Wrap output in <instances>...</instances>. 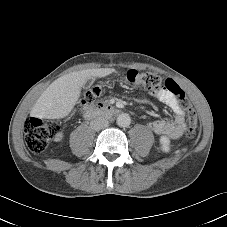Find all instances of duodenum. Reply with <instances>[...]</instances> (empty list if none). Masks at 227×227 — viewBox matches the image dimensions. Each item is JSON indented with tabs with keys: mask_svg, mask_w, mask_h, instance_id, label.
<instances>
[{
	"mask_svg": "<svg viewBox=\"0 0 227 227\" xmlns=\"http://www.w3.org/2000/svg\"><path fill=\"white\" fill-rule=\"evenodd\" d=\"M120 112L121 110L119 108H116L114 106H111L105 103H98V104L88 106L84 110V116L87 119H93L98 116H107V117L114 116L119 114Z\"/></svg>",
	"mask_w": 227,
	"mask_h": 227,
	"instance_id": "obj_1",
	"label": "duodenum"
}]
</instances>
